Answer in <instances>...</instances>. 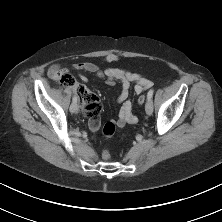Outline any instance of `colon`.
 Segmentation results:
<instances>
[{"instance_id":"5ec220e1","label":"colon","mask_w":222,"mask_h":222,"mask_svg":"<svg viewBox=\"0 0 222 222\" xmlns=\"http://www.w3.org/2000/svg\"><path fill=\"white\" fill-rule=\"evenodd\" d=\"M58 80L60 81V83H62L63 85H66V86L75 85L73 78L69 74H66V73L61 74L58 77ZM77 91L79 94L80 101L82 102V104L84 106V110L87 113L97 112L101 109L99 98L93 92H91L90 90H88L82 86H78ZM146 100H147V96L143 95V96L139 97L138 103L140 105H142L144 103V101H146ZM114 132H115V124L114 123L107 122L103 126L104 137L110 138L114 134ZM103 157L105 159L109 158V153L106 149L103 151Z\"/></svg>"}]
</instances>
